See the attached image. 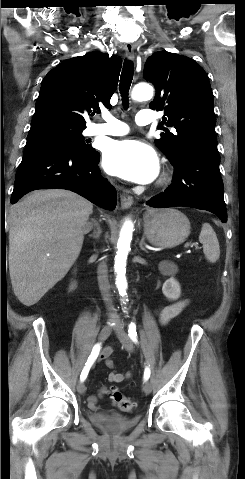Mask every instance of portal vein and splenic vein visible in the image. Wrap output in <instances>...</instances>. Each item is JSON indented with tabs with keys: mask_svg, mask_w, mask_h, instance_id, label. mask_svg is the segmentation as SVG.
<instances>
[{
	"mask_svg": "<svg viewBox=\"0 0 245 479\" xmlns=\"http://www.w3.org/2000/svg\"><path fill=\"white\" fill-rule=\"evenodd\" d=\"M184 247L187 249H190V248H193V245L186 243ZM156 251H160V250H156Z\"/></svg>",
	"mask_w": 245,
	"mask_h": 479,
	"instance_id": "obj_1",
	"label": "portal vein and splenic vein"
}]
</instances>
